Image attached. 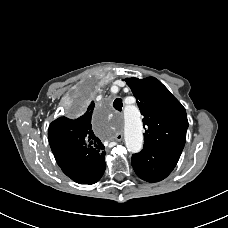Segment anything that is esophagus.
<instances>
[{
	"mask_svg": "<svg viewBox=\"0 0 228 228\" xmlns=\"http://www.w3.org/2000/svg\"><path fill=\"white\" fill-rule=\"evenodd\" d=\"M115 140L116 141H122L123 140V134L122 133H117L115 135Z\"/></svg>",
	"mask_w": 228,
	"mask_h": 228,
	"instance_id": "obj_1",
	"label": "esophagus"
}]
</instances>
